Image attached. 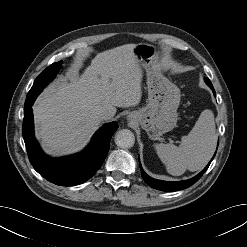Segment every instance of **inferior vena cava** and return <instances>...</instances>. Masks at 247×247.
Masks as SVG:
<instances>
[{"instance_id": "obj_1", "label": "inferior vena cava", "mask_w": 247, "mask_h": 247, "mask_svg": "<svg viewBox=\"0 0 247 247\" xmlns=\"http://www.w3.org/2000/svg\"><path fill=\"white\" fill-rule=\"evenodd\" d=\"M98 116L101 120H109L112 118V114L108 111H101Z\"/></svg>"}]
</instances>
